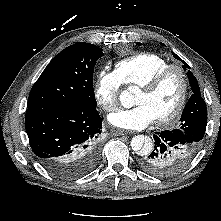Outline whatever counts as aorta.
<instances>
[{"label":"aorta","instance_id":"obj_1","mask_svg":"<svg viewBox=\"0 0 221 221\" xmlns=\"http://www.w3.org/2000/svg\"><path fill=\"white\" fill-rule=\"evenodd\" d=\"M134 91L135 88L130 87L128 91H124L121 93L120 100L123 106L131 107L133 105L132 93ZM130 143L132 150L142 156L150 152L153 147L152 140L144 135L134 136Z\"/></svg>","mask_w":221,"mask_h":221}]
</instances>
